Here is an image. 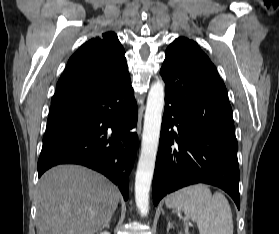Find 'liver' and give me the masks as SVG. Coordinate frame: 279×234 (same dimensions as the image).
I'll return each instance as SVG.
<instances>
[{"label":"liver","mask_w":279,"mask_h":234,"mask_svg":"<svg viewBox=\"0 0 279 234\" xmlns=\"http://www.w3.org/2000/svg\"><path fill=\"white\" fill-rule=\"evenodd\" d=\"M120 191L103 175L60 165L41 177L37 191V234H95L112 217Z\"/></svg>","instance_id":"1"}]
</instances>
